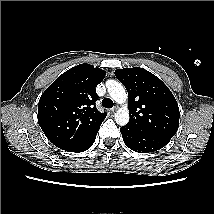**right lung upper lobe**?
<instances>
[{
	"label": "right lung upper lobe",
	"instance_id": "cb5924a9",
	"mask_svg": "<svg viewBox=\"0 0 214 214\" xmlns=\"http://www.w3.org/2000/svg\"><path fill=\"white\" fill-rule=\"evenodd\" d=\"M105 75L102 69L80 64L60 75L41 95L38 123L56 147L74 152L98 132L106 113L95 106V87Z\"/></svg>",
	"mask_w": 214,
	"mask_h": 214
}]
</instances>
